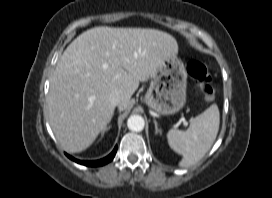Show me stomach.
Returning a JSON list of instances; mask_svg holds the SVG:
<instances>
[{
	"instance_id": "0dacf381",
	"label": "stomach",
	"mask_w": 272,
	"mask_h": 198,
	"mask_svg": "<svg viewBox=\"0 0 272 198\" xmlns=\"http://www.w3.org/2000/svg\"><path fill=\"white\" fill-rule=\"evenodd\" d=\"M186 86L183 63L176 56L168 57L153 72L145 103L159 114H174L186 102Z\"/></svg>"
}]
</instances>
